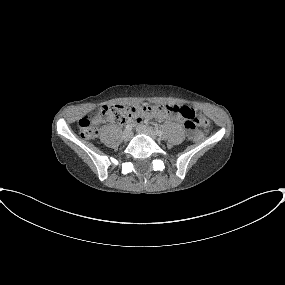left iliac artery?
<instances>
[{"label": "left iliac artery", "mask_w": 285, "mask_h": 285, "mask_svg": "<svg viewBox=\"0 0 285 285\" xmlns=\"http://www.w3.org/2000/svg\"><path fill=\"white\" fill-rule=\"evenodd\" d=\"M155 133L158 135V136H162L163 135V132L159 129H155Z\"/></svg>", "instance_id": "44dca946"}]
</instances>
